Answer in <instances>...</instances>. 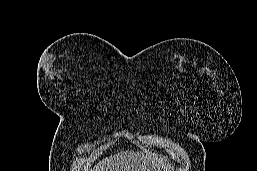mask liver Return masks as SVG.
<instances>
[{
	"instance_id": "1",
	"label": "liver",
	"mask_w": 257,
	"mask_h": 171,
	"mask_svg": "<svg viewBox=\"0 0 257 171\" xmlns=\"http://www.w3.org/2000/svg\"><path fill=\"white\" fill-rule=\"evenodd\" d=\"M89 171H159V163L152 154L123 151L99 161Z\"/></svg>"
}]
</instances>
